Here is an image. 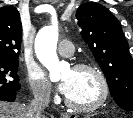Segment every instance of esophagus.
Here are the masks:
<instances>
[{
	"instance_id": "obj_1",
	"label": "esophagus",
	"mask_w": 133,
	"mask_h": 118,
	"mask_svg": "<svg viewBox=\"0 0 133 118\" xmlns=\"http://www.w3.org/2000/svg\"><path fill=\"white\" fill-rule=\"evenodd\" d=\"M62 117L63 118H77L76 115H74V114H68V113L63 114Z\"/></svg>"
}]
</instances>
